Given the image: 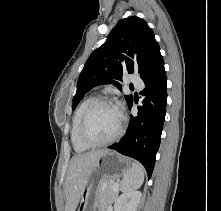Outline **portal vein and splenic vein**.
<instances>
[{"label":"portal vein and splenic vein","mask_w":221,"mask_h":211,"mask_svg":"<svg viewBox=\"0 0 221 211\" xmlns=\"http://www.w3.org/2000/svg\"><path fill=\"white\" fill-rule=\"evenodd\" d=\"M118 188H119V183L116 182L115 185H114V189H115V190H118Z\"/></svg>","instance_id":"18ae733b"}]
</instances>
